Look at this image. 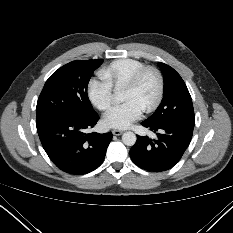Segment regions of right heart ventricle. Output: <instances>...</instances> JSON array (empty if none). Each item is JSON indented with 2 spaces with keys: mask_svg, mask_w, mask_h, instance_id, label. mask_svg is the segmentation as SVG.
Instances as JSON below:
<instances>
[{
  "mask_svg": "<svg viewBox=\"0 0 233 233\" xmlns=\"http://www.w3.org/2000/svg\"><path fill=\"white\" fill-rule=\"evenodd\" d=\"M144 66L145 64L140 60L121 58L113 60L106 67L100 69L98 75L112 88H119L124 86L131 76Z\"/></svg>",
  "mask_w": 233,
  "mask_h": 233,
  "instance_id": "e07e8e85",
  "label": "right heart ventricle"
}]
</instances>
